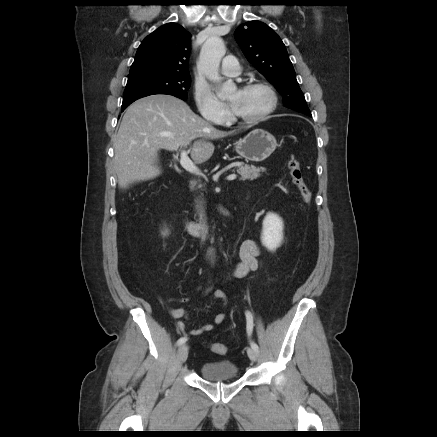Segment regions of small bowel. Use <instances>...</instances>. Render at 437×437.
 Returning a JSON list of instances; mask_svg holds the SVG:
<instances>
[{"label": "small bowel", "instance_id": "c3829d8e", "mask_svg": "<svg viewBox=\"0 0 437 437\" xmlns=\"http://www.w3.org/2000/svg\"><path fill=\"white\" fill-rule=\"evenodd\" d=\"M259 256H260V247L253 240H246L242 243L240 247V262L237 264L235 268V275L238 277H242L246 275L250 271H254L259 267ZM213 298L216 300H221L224 305H226V295L221 290H217L213 293ZM170 314L175 319L188 318L187 312L183 308H172L170 309ZM226 318L224 313H219L214 317L212 323H206L199 328L191 329L188 331L187 325L180 321L177 326L179 331L186 335L187 333L191 335H200L204 332L212 331L215 326L221 324Z\"/></svg>", "mask_w": 437, "mask_h": 437}]
</instances>
